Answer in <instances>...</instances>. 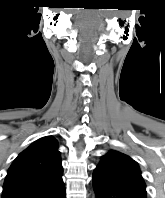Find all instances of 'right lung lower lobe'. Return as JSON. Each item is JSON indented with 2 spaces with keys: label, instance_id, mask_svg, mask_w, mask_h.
<instances>
[{
  "label": "right lung lower lobe",
  "instance_id": "right-lung-lower-lobe-1",
  "mask_svg": "<svg viewBox=\"0 0 165 198\" xmlns=\"http://www.w3.org/2000/svg\"><path fill=\"white\" fill-rule=\"evenodd\" d=\"M54 198H65V189L59 192Z\"/></svg>",
  "mask_w": 165,
  "mask_h": 198
}]
</instances>
